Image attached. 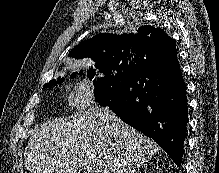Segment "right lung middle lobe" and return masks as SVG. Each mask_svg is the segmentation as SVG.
<instances>
[{"instance_id": "1", "label": "right lung middle lobe", "mask_w": 219, "mask_h": 173, "mask_svg": "<svg viewBox=\"0 0 219 173\" xmlns=\"http://www.w3.org/2000/svg\"><path fill=\"white\" fill-rule=\"evenodd\" d=\"M137 68V65L132 63L103 65L96 73L88 75L89 79L93 81L95 87L94 93L96 101L104 106L110 100L115 89ZM76 75L71 76L74 78ZM61 80L56 83L48 84V87L53 84L62 83Z\"/></svg>"}]
</instances>
